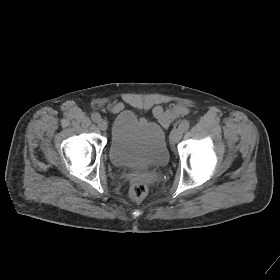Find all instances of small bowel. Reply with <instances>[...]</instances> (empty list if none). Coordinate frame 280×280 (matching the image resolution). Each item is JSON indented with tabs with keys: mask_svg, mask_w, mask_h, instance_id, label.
Instances as JSON below:
<instances>
[{
	"mask_svg": "<svg viewBox=\"0 0 280 280\" xmlns=\"http://www.w3.org/2000/svg\"><path fill=\"white\" fill-rule=\"evenodd\" d=\"M122 108L121 103H114L109 106L113 112ZM188 113L187 107L182 104H175L170 109H163L160 106L155 107L154 114L162 122L163 125L168 126L177 117L186 115Z\"/></svg>",
	"mask_w": 280,
	"mask_h": 280,
	"instance_id": "small-bowel-1",
	"label": "small bowel"
}]
</instances>
